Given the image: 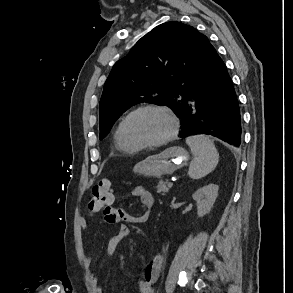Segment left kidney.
<instances>
[{
  "instance_id": "left-kidney-1",
  "label": "left kidney",
  "mask_w": 293,
  "mask_h": 293,
  "mask_svg": "<svg viewBox=\"0 0 293 293\" xmlns=\"http://www.w3.org/2000/svg\"><path fill=\"white\" fill-rule=\"evenodd\" d=\"M218 190L219 186L211 183L199 188L192 195L197 205L198 217H203L211 211L218 196Z\"/></svg>"
}]
</instances>
